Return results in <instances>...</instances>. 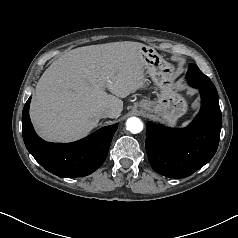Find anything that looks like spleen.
Here are the masks:
<instances>
[{
    "mask_svg": "<svg viewBox=\"0 0 238 238\" xmlns=\"http://www.w3.org/2000/svg\"><path fill=\"white\" fill-rule=\"evenodd\" d=\"M188 123H189V121H185V122L182 124V126L185 127V126L188 125Z\"/></svg>",
    "mask_w": 238,
    "mask_h": 238,
    "instance_id": "1",
    "label": "spleen"
}]
</instances>
